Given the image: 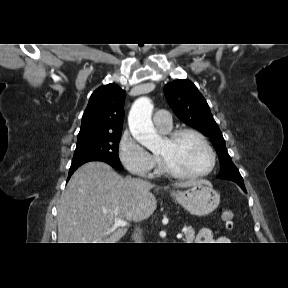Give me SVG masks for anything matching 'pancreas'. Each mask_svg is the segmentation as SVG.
<instances>
[{"instance_id":"obj_1","label":"pancreas","mask_w":288,"mask_h":288,"mask_svg":"<svg viewBox=\"0 0 288 288\" xmlns=\"http://www.w3.org/2000/svg\"><path fill=\"white\" fill-rule=\"evenodd\" d=\"M185 238L183 239L185 243H191L195 238L194 229L191 227H187L184 231Z\"/></svg>"}]
</instances>
